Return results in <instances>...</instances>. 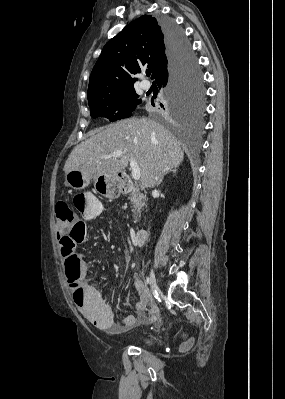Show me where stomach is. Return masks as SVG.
Returning <instances> with one entry per match:
<instances>
[{"instance_id":"obj_1","label":"stomach","mask_w":285,"mask_h":399,"mask_svg":"<svg viewBox=\"0 0 285 399\" xmlns=\"http://www.w3.org/2000/svg\"><path fill=\"white\" fill-rule=\"evenodd\" d=\"M91 179L94 180L95 190L110 199L118 198L124 188V183L118 175L89 177L79 170H71L65 174V185L81 190L90 184Z\"/></svg>"}]
</instances>
